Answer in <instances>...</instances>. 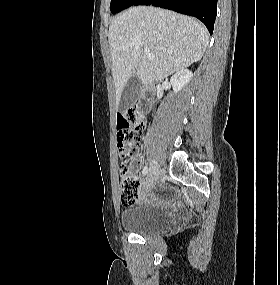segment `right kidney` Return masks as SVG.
<instances>
[{
  "label": "right kidney",
  "instance_id": "1",
  "mask_svg": "<svg viewBox=\"0 0 280 285\" xmlns=\"http://www.w3.org/2000/svg\"><path fill=\"white\" fill-rule=\"evenodd\" d=\"M192 77L193 74L188 69H181L176 74H174L170 80L174 93L176 94L181 91L182 88H184L185 85L190 82Z\"/></svg>",
  "mask_w": 280,
  "mask_h": 285
}]
</instances>
